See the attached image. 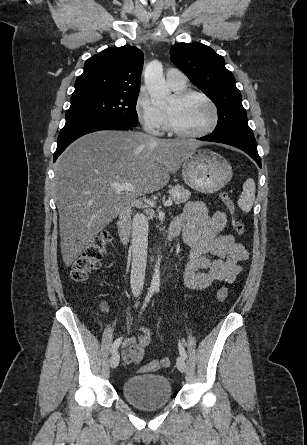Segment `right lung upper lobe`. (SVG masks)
<instances>
[{
  "instance_id": "right-lung-upper-lobe-1",
  "label": "right lung upper lobe",
  "mask_w": 307,
  "mask_h": 445,
  "mask_svg": "<svg viewBox=\"0 0 307 445\" xmlns=\"http://www.w3.org/2000/svg\"><path fill=\"white\" fill-rule=\"evenodd\" d=\"M143 53L133 46L108 48L89 58L75 82L72 96L90 94H137Z\"/></svg>"
}]
</instances>
